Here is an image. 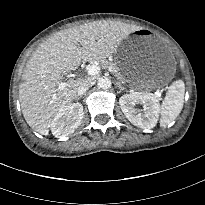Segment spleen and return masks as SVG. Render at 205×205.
I'll use <instances>...</instances> for the list:
<instances>
[{
  "instance_id": "1",
  "label": "spleen",
  "mask_w": 205,
  "mask_h": 205,
  "mask_svg": "<svg viewBox=\"0 0 205 205\" xmlns=\"http://www.w3.org/2000/svg\"><path fill=\"white\" fill-rule=\"evenodd\" d=\"M184 94L185 84L183 80L178 79L169 86L161 106V127H166L180 114L183 108Z\"/></svg>"
}]
</instances>
